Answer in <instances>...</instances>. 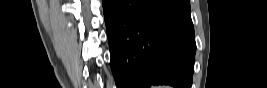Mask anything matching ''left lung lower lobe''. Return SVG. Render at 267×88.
<instances>
[{"instance_id":"left-lung-lower-lobe-1","label":"left lung lower lobe","mask_w":267,"mask_h":88,"mask_svg":"<svg viewBox=\"0 0 267 88\" xmlns=\"http://www.w3.org/2000/svg\"><path fill=\"white\" fill-rule=\"evenodd\" d=\"M117 88H191L196 50L188 0H103Z\"/></svg>"}]
</instances>
